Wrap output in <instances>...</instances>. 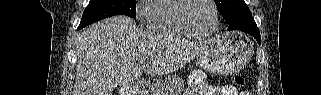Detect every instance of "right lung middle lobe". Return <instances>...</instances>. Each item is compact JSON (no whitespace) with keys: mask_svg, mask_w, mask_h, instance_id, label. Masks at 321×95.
Returning a JSON list of instances; mask_svg holds the SVG:
<instances>
[{"mask_svg":"<svg viewBox=\"0 0 321 95\" xmlns=\"http://www.w3.org/2000/svg\"><path fill=\"white\" fill-rule=\"evenodd\" d=\"M114 15H126L135 18V0H90L78 29Z\"/></svg>","mask_w":321,"mask_h":95,"instance_id":"obj_1","label":"right lung middle lobe"}]
</instances>
